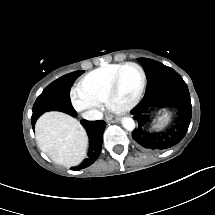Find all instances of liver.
<instances>
[{"instance_id":"1","label":"liver","mask_w":215,"mask_h":215,"mask_svg":"<svg viewBox=\"0 0 215 215\" xmlns=\"http://www.w3.org/2000/svg\"><path fill=\"white\" fill-rule=\"evenodd\" d=\"M35 139L52 161L67 168L80 165L87 157V131L77 118L65 112L42 113L35 123Z\"/></svg>"}]
</instances>
